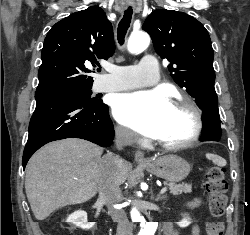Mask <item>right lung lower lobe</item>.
<instances>
[{"label":"right lung lower lobe","mask_w":250,"mask_h":235,"mask_svg":"<svg viewBox=\"0 0 250 235\" xmlns=\"http://www.w3.org/2000/svg\"><path fill=\"white\" fill-rule=\"evenodd\" d=\"M113 137L108 107L102 100L91 102L78 96L36 98L23 153V167L33 153L48 142L81 138L105 147L112 143Z\"/></svg>","instance_id":"right-lung-lower-lobe-1"}]
</instances>
